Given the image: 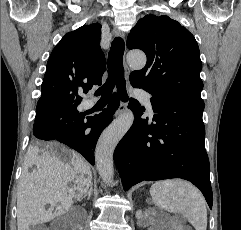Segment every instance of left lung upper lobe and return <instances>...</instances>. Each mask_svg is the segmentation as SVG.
<instances>
[{"label":"left lung upper lobe","mask_w":241,"mask_h":230,"mask_svg":"<svg viewBox=\"0 0 241 230\" xmlns=\"http://www.w3.org/2000/svg\"><path fill=\"white\" fill-rule=\"evenodd\" d=\"M128 49H141L146 66L130 74L133 85L152 96L203 112L202 62L194 36L168 16L146 15L127 38Z\"/></svg>","instance_id":"1"}]
</instances>
